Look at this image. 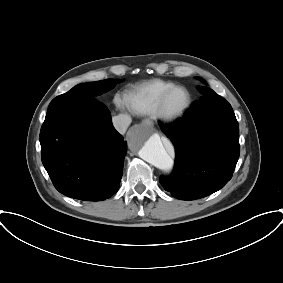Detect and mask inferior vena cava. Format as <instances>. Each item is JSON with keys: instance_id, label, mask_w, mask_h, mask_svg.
<instances>
[{"instance_id": "1", "label": "inferior vena cava", "mask_w": 283, "mask_h": 283, "mask_svg": "<svg viewBox=\"0 0 283 283\" xmlns=\"http://www.w3.org/2000/svg\"><path fill=\"white\" fill-rule=\"evenodd\" d=\"M112 123L120 134H125L128 126L131 124V117L127 114H120L112 118Z\"/></svg>"}]
</instances>
